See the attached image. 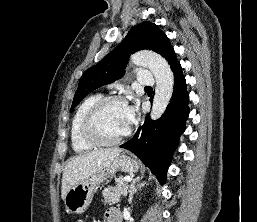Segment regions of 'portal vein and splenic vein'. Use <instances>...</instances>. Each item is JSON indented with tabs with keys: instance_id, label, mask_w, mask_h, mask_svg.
<instances>
[{
	"instance_id": "18ae733b",
	"label": "portal vein and splenic vein",
	"mask_w": 257,
	"mask_h": 222,
	"mask_svg": "<svg viewBox=\"0 0 257 222\" xmlns=\"http://www.w3.org/2000/svg\"><path fill=\"white\" fill-rule=\"evenodd\" d=\"M131 180H132L131 177H125V178H124V181H126V182H130Z\"/></svg>"
}]
</instances>
